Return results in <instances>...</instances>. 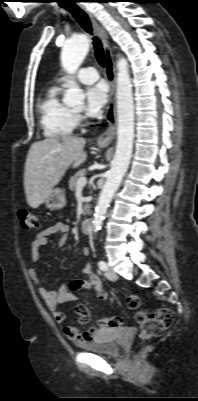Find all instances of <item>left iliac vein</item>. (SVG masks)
Instances as JSON below:
<instances>
[{
    "label": "left iliac vein",
    "instance_id": "obj_1",
    "mask_svg": "<svg viewBox=\"0 0 198 401\" xmlns=\"http://www.w3.org/2000/svg\"><path fill=\"white\" fill-rule=\"evenodd\" d=\"M104 275L108 280H111V281H115L117 279V274L115 273V271L112 268H108L105 271Z\"/></svg>",
    "mask_w": 198,
    "mask_h": 401
}]
</instances>
